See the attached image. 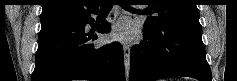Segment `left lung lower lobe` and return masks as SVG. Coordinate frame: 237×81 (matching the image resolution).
I'll return each mask as SVG.
<instances>
[{"label": "left lung lower lobe", "instance_id": "obj_1", "mask_svg": "<svg viewBox=\"0 0 237 81\" xmlns=\"http://www.w3.org/2000/svg\"><path fill=\"white\" fill-rule=\"evenodd\" d=\"M144 40L133 46L130 81H154L186 76L212 81L199 24L168 23L156 30L143 29Z\"/></svg>", "mask_w": 237, "mask_h": 81}]
</instances>
